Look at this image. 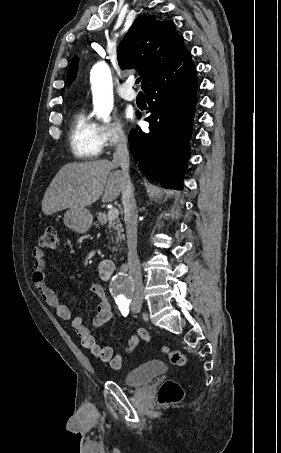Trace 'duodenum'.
<instances>
[{"mask_svg": "<svg viewBox=\"0 0 281 453\" xmlns=\"http://www.w3.org/2000/svg\"><path fill=\"white\" fill-rule=\"evenodd\" d=\"M118 267L119 264L112 260H103L99 264V275L103 280H109Z\"/></svg>", "mask_w": 281, "mask_h": 453, "instance_id": "410a0bca", "label": "duodenum"}]
</instances>
